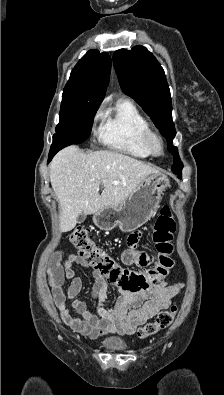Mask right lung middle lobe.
<instances>
[{
    "label": "right lung middle lobe",
    "instance_id": "obj_1",
    "mask_svg": "<svg viewBox=\"0 0 224 395\" xmlns=\"http://www.w3.org/2000/svg\"><path fill=\"white\" fill-rule=\"evenodd\" d=\"M102 99L89 95L63 91L60 122L53 135L57 144H79L91 133L93 119Z\"/></svg>",
    "mask_w": 224,
    "mask_h": 395
}]
</instances>
